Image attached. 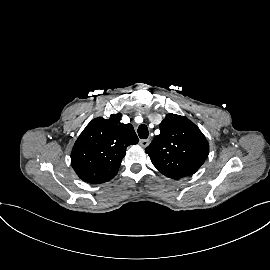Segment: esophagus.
I'll list each match as a JSON object with an SVG mask.
<instances>
[{"instance_id": "1", "label": "esophagus", "mask_w": 270, "mask_h": 270, "mask_svg": "<svg viewBox=\"0 0 270 270\" xmlns=\"http://www.w3.org/2000/svg\"><path fill=\"white\" fill-rule=\"evenodd\" d=\"M139 144H140L143 148H145V147H147V146L150 144V140H149V139H142V140L139 141Z\"/></svg>"}]
</instances>
